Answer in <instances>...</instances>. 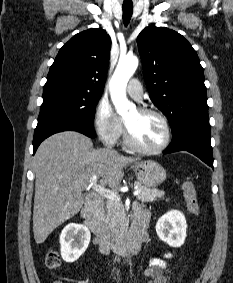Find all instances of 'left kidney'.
I'll return each instance as SVG.
<instances>
[{"mask_svg": "<svg viewBox=\"0 0 233 283\" xmlns=\"http://www.w3.org/2000/svg\"><path fill=\"white\" fill-rule=\"evenodd\" d=\"M186 229L185 216L177 210L166 213L156 224V232L160 240L176 248L184 244Z\"/></svg>", "mask_w": 233, "mask_h": 283, "instance_id": "5707ae66", "label": "left kidney"}]
</instances>
